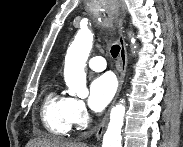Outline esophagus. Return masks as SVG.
<instances>
[{
	"instance_id": "1",
	"label": "esophagus",
	"mask_w": 183,
	"mask_h": 147,
	"mask_svg": "<svg viewBox=\"0 0 183 147\" xmlns=\"http://www.w3.org/2000/svg\"><path fill=\"white\" fill-rule=\"evenodd\" d=\"M124 12V11H123ZM119 43H120V52H119V77H118V90L116 93V97L113 101V104L115 103L119 92L122 88V84L124 82L125 74H126V69H127V51H126V42L123 34V27L122 24L120 25V35H119ZM108 119V113L104 116L103 120L101 121L97 133H96V138L99 141L102 138L106 122Z\"/></svg>"
}]
</instances>
